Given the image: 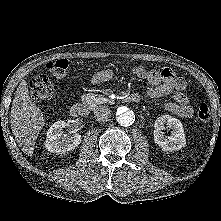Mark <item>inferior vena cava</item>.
Segmentation results:
<instances>
[{"label": "inferior vena cava", "mask_w": 221, "mask_h": 221, "mask_svg": "<svg viewBox=\"0 0 221 221\" xmlns=\"http://www.w3.org/2000/svg\"><path fill=\"white\" fill-rule=\"evenodd\" d=\"M94 116L98 122H107L111 118V110L107 106H98L94 110Z\"/></svg>", "instance_id": "obj_1"}]
</instances>
